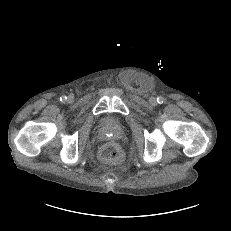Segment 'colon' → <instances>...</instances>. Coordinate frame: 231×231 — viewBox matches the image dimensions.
Listing matches in <instances>:
<instances>
[{"label":"colon","instance_id":"obj_1","mask_svg":"<svg viewBox=\"0 0 231 231\" xmlns=\"http://www.w3.org/2000/svg\"><path fill=\"white\" fill-rule=\"evenodd\" d=\"M100 159L107 164H115L120 159V151L113 142L104 143L99 150Z\"/></svg>","mask_w":231,"mask_h":231}]
</instances>
